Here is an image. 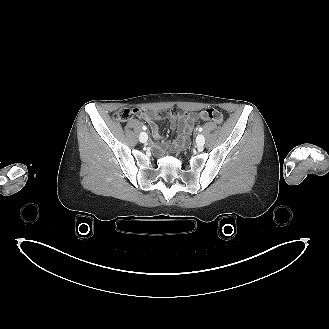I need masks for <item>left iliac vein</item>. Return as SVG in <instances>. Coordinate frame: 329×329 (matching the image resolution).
<instances>
[{"instance_id":"4c4485c4","label":"left iliac vein","mask_w":329,"mask_h":329,"mask_svg":"<svg viewBox=\"0 0 329 329\" xmlns=\"http://www.w3.org/2000/svg\"><path fill=\"white\" fill-rule=\"evenodd\" d=\"M196 143H197L198 147H202L205 144V137L202 134H199L196 137Z\"/></svg>"}]
</instances>
